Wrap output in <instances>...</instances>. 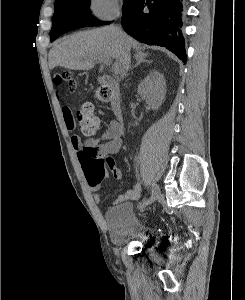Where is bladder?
<instances>
[{"label": "bladder", "mask_w": 245, "mask_h": 300, "mask_svg": "<svg viewBox=\"0 0 245 300\" xmlns=\"http://www.w3.org/2000/svg\"><path fill=\"white\" fill-rule=\"evenodd\" d=\"M105 222L111 242L115 245L144 241L154 232L151 223L138 215L129 201L110 206L105 212Z\"/></svg>", "instance_id": "1"}]
</instances>
